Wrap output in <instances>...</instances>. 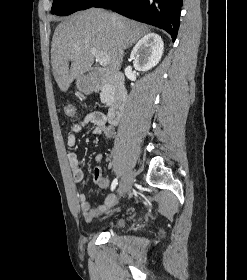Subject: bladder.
Instances as JSON below:
<instances>
[{"instance_id": "bladder-1", "label": "bladder", "mask_w": 247, "mask_h": 280, "mask_svg": "<svg viewBox=\"0 0 247 280\" xmlns=\"http://www.w3.org/2000/svg\"><path fill=\"white\" fill-rule=\"evenodd\" d=\"M115 223H116V225H118V226H122L123 223H124V221H123L122 219H118Z\"/></svg>"}]
</instances>
